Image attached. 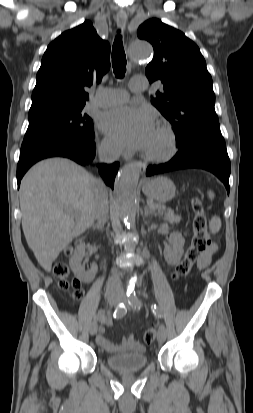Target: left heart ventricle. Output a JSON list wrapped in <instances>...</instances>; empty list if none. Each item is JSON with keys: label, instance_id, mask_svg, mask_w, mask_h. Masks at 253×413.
<instances>
[{"label": "left heart ventricle", "instance_id": "obj_1", "mask_svg": "<svg viewBox=\"0 0 253 413\" xmlns=\"http://www.w3.org/2000/svg\"><path fill=\"white\" fill-rule=\"evenodd\" d=\"M166 147L165 138L157 127L154 128L151 140L146 147L147 150L160 152L163 151Z\"/></svg>", "mask_w": 253, "mask_h": 413}]
</instances>
